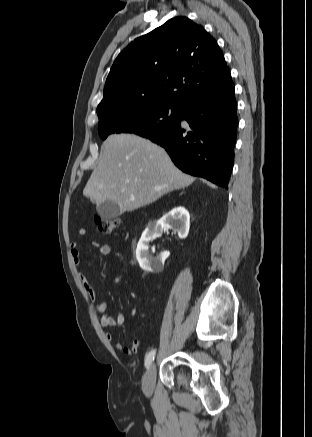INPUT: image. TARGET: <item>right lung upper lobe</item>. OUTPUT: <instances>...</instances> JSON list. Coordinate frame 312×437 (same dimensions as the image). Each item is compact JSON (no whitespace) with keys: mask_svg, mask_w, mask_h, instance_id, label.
I'll return each mask as SVG.
<instances>
[{"mask_svg":"<svg viewBox=\"0 0 312 437\" xmlns=\"http://www.w3.org/2000/svg\"><path fill=\"white\" fill-rule=\"evenodd\" d=\"M230 77L215 39L186 17L131 42L106 79L98 118L130 104L161 102L183 107Z\"/></svg>","mask_w":312,"mask_h":437,"instance_id":"1","label":"right lung upper lobe"}]
</instances>
